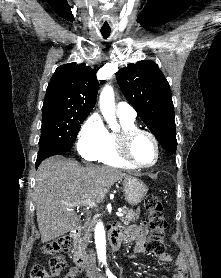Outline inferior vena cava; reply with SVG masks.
I'll list each match as a JSON object with an SVG mask.
<instances>
[{
	"label": "inferior vena cava",
	"mask_w": 221,
	"mask_h": 278,
	"mask_svg": "<svg viewBox=\"0 0 221 278\" xmlns=\"http://www.w3.org/2000/svg\"><path fill=\"white\" fill-rule=\"evenodd\" d=\"M85 269L88 272L96 271V260H95V254L93 250L89 251L88 261L86 262Z\"/></svg>",
	"instance_id": "obj_1"
}]
</instances>
